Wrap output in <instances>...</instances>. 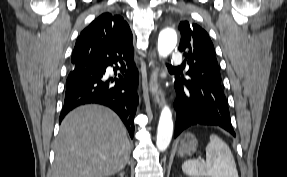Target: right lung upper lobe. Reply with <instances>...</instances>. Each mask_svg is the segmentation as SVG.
I'll use <instances>...</instances> for the list:
<instances>
[{
  "mask_svg": "<svg viewBox=\"0 0 287 177\" xmlns=\"http://www.w3.org/2000/svg\"><path fill=\"white\" fill-rule=\"evenodd\" d=\"M124 42L132 46V32L119 15L103 13L87 26L77 38L71 62L78 63L89 55L92 46Z\"/></svg>",
  "mask_w": 287,
  "mask_h": 177,
  "instance_id": "right-lung-upper-lobe-1",
  "label": "right lung upper lobe"
}]
</instances>
